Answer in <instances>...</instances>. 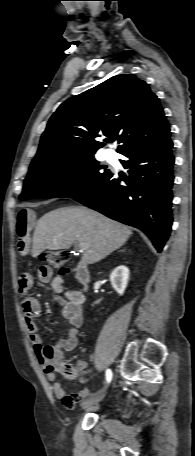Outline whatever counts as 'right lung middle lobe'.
<instances>
[{
  "instance_id": "right-lung-middle-lobe-1",
  "label": "right lung middle lobe",
  "mask_w": 195,
  "mask_h": 456,
  "mask_svg": "<svg viewBox=\"0 0 195 456\" xmlns=\"http://www.w3.org/2000/svg\"><path fill=\"white\" fill-rule=\"evenodd\" d=\"M94 155L74 156L40 163L29 168L19 199L39 197L75 198L88 193L111 172Z\"/></svg>"
}]
</instances>
